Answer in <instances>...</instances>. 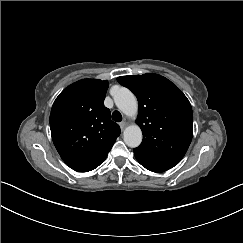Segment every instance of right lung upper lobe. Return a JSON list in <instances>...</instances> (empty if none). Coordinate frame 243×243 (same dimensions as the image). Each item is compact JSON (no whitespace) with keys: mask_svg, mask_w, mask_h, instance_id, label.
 Masks as SVG:
<instances>
[{"mask_svg":"<svg viewBox=\"0 0 243 243\" xmlns=\"http://www.w3.org/2000/svg\"><path fill=\"white\" fill-rule=\"evenodd\" d=\"M108 82L83 79L65 88L56 98L50 114L54 145L72 169L87 172L107 157L120 134L103 104Z\"/></svg>","mask_w":243,"mask_h":243,"instance_id":"obj_1","label":"right lung upper lobe"}]
</instances>
